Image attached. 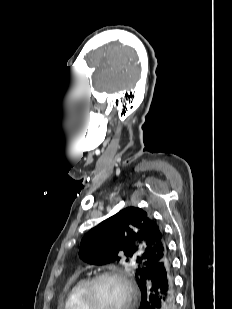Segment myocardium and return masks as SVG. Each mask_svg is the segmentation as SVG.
Returning a JSON list of instances; mask_svg holds the SVG:
<instances>
[{
  "mask_svg": "<svg viewBox=\"0 0 232 309\" xmlns=\"http://www.w3.org/2000/svg\"><path fill=\"white\" fill-rule=\"evenodd\" d=\"M106 278L115 279L123 285L125 290V299L120 309H130L135 298V289L128 276L118 269H108L101 271L89 279L83 297L86 308L97 309L94 296L95 288L99 281Z\"/></svg>",
  "mask_w": 232,
  "mask_h": 309,
  "instance_id": "f54148a6",
  "label": "myocardium"
}]
</instances>
